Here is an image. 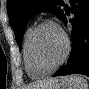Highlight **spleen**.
Instances as JSON below:
<instances>
[{
	"mask_svg": "<svg viewBox=\"0 0 89 89\" xmlns=\"http://www.w3.org/2000/svg\"><path fill=\"white\" fill-rule=\"evenodd\" d=\"M66 81L74 88V89H88V83L86 79H84L80 75H71L66 78Z\"/></svg>",
	"mask_w": 89,
	"mask_h": 89,
	"instance_id": "spleen-1",
	"label": "spleen"
}]
</instances>
